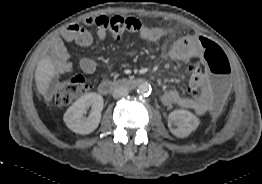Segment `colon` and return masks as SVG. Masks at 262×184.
<instances>
[{
  "label": "colon",
  "instance_id": "1",
  "mask_svg": "<svg viewBox=\"0 0 262 184\" xmlns=\"http://www.w3.org/2000/svg\"><path fill=\"white\" fill-rule=\"evenodd\" d=\"M86 23L105 30L115 39L140 32L144 27L139 19L123 16H100L87 19ZM201 46L203 48L202 66L208 76L197 83L192 91L199 92L203 89L213 114L220 115L225 109L230 90V62L222 48L216 43L203 38ZM88 88L84 77L75 76L61 82L54 93L53 100L57 105H67L84 95Z\"/></svg>",
  "mask_w": 262,
  "mask_h": 184
}]
</instances>
